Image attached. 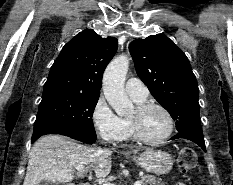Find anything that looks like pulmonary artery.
Wrapping results in <instances>:
<instances>
[{
  "label": "pulmonary artery",
  "instance_id": "e3ab8cb5",
  "mask_svg": "<svg viewBox=\"0 0 233 185\" xmlns=\"http://www.w3.org/2000/svg\"><path fill=\"white\" fill-rule=\"evenodd\" d=\"M125 88L129 96L137 100L146 99L149 93L146 85L136 77L127 79Z\"/></svg>",
  "mask_w": 233,
  "mask_h": 185
}]
</instances>
